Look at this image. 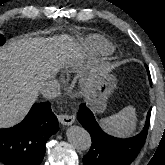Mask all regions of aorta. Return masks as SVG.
<instances>
[{
    "label": "aorta",
    "mask_w": 165,
    "mask_h": 165,
    "mask_svg": "<svg viewBox=\"0 0 165 165\" xmlns=\"http://www.w3.org/2000/svg\"><path fill=\"white\" fill-rule=\"evenodd\" d=\"M67 139L78 150H87L91 146V136L83 127L71 126L68 128Z\"/></svg>",
    "instance_id": "obj_1"
}]
</instances>
